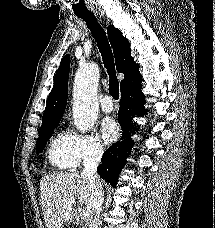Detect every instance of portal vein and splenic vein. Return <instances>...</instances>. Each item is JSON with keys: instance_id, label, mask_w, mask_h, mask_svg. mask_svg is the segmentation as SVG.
Returning <instances> with one entry per match:
<instances>
[{"instance_id": "portal-vein-and-splenic-vein-1", "label": "portal vein and splenic vein", "mask_w": 215, "mask_h": 228, "mask_svg": "<svg viewBox=\"0 0 215 228\" xmlns=\"http://www.w3.org/2000/svg\"><path fill=\"white\" fill-rule=\"evenodd\" d=\"M67 206H69V208H71V206H73V204H76L74 198H69V200H67L66 202ZM79 214L81 216V218H89V214L88 212H86V210H79Z\"/></svg>"}]
</instances>
